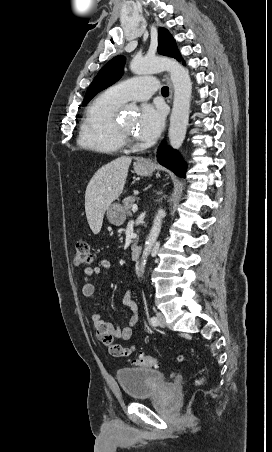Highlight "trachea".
I'll list each match as a JSON object with an SVG mask.
<instances>
[{
  "label": "trachea",
  "mask_w": 272,
  "mask_h": 452,
  "mask_svg": "<svg viewBox=\"0 0 272 452\" xmlns=\"http://www.w3.org/2000/svg\"><path fill=\"white\" fill-rule=\"evenodd\" d=\"M161 93H162L163 95H168V94H169V89H168V87H167V86L162 87Z\"/></svg>",
  "instance_id": "1"
}]
</instances>
